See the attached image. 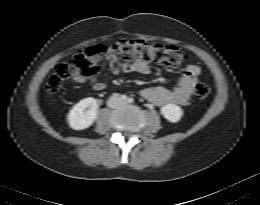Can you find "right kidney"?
<instances>
[{"label": "right kidney", "mask_w": 260, "mask_h": 205, "mask_svg": "<svg viewBox=\"0 0 260 205\" xmlns=\"http://www.w3.org/2000/svg\"><path fill=\"white\" fill-rule=\"evenodd\" d=\"M97 114V100L89 97L81 100L73 106L67 116V121L72 129L84 130L93 124L97 118Z\"/></svg>", "instance_id": "1"}]
</instances>
